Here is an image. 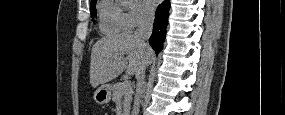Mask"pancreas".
<instances>
[{"instance_id":"cf45deb5","label":"pancreas","mask_w":285,"mask_h":115,"mask_svg":"<svg viewBox=\"0 0 285 115\" xmlns=\"http://www.w3.org/2000/svg\"><path fill=\"white\" fill-rule=\"evenodd\" d=\"M112 91V100L115 103H121L124 111L129 110L133 94L131 86H125L124 83H116L113 85Z\"/></svg>"}]
</instances>
